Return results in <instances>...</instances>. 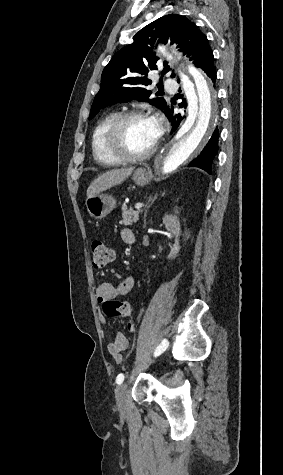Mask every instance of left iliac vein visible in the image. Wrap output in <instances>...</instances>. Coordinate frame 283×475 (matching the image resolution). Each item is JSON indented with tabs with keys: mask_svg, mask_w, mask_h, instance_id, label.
<instances>
[{
	"mask_svg": "<svg viewBox=\"0 0 283 475\" xmlns=\"http://www.w3.org/2000/svg\"><path fill=\"white\" fill-rule=\"evenodd\" d=\"M126 392H127L126 383H122L118 385L115 390L116 404H117V407L119 408V411L122 413H125L126 405H127Z\"/></svg>",
	"mask_w": 283,
	"mask_h": 475,
	"instance_id": "4c4485c4",
	"label": "left iliac vein"
}]
</instances>
